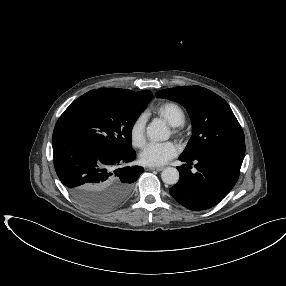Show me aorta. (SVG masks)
I'll list each match as a JSON object with an SVG mask.
<instances>
[{
    "instance_id": "762f6f07",
    "label": "aorta",
    "mask_w": 286,
    "mask_h": 286,
    "mask_svg": "<svg viewBox=\"0 0 286 286\" xmlns=\"http://www.w3.org/2000/svg\"><path fill=\"white\" fill-rule=\"evenodd\" d=\"M147 136L152 141H166L169 139V131L161 122H154L147 128ZM162 181L169 185H174L179 180V172L174 167H167L161 173Z\"/></svg>"
}]
</instances>
